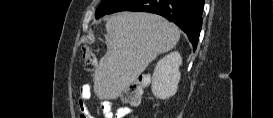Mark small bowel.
Masks as SVG:
<instances>
[{"label": "small bowel", "instance_id": "small-bowel-1", "mask_svg": "<svg viewBox=\"0 0 273 118\" xmlns=\"http://www.w3.org/2000/svg\"><path fill=\"white\" fill-rule=\"evenodd\" d=\"M91 96V88L89 85H83L80 88V94L78 99L80 118H89V112L87 109L86 101ZM102 111L105 118H124L130 114L131 110L127 107H120L115 112L112 111L111 102L104 101L102 104Z\"/></svg>", "mask_w": 273, "mask_h": 118}]
</instances>
